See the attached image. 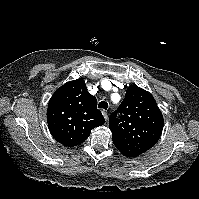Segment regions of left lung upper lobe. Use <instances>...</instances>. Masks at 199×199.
Listing matches in <instances>:
<instances>
[{
  "mask_svg": "<svg viewBox=\"0 0 199 199\" xmlns=\"http://www.w3.org/2000/svg\"><path fill=\"white\" fill-rule=\"evenodd\" d=\"M109 118L116 148L127 157H137L159 140L164 120L155 99L146 90L130 85L118 110Z\"/></svg>",
  "mask_w": 199,
  "mask_h": 199,
  "instance_id": "obj_1",
  "label": "left lung upper lobe"
}]
</instances>
